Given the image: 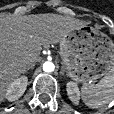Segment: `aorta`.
<instances>
[{"label": "aorta", "mask_w": 114, "mask_h": 114, "mask_svg": "<svg viewBox=\"0 0 114 114\" xmlns=\"http://www.w3.org/2000/svg\"><path fill=\"white\" fill-rule=\"evenodd\" d=\"M55 69V65L53 64V62H50V61H46L44 64H43V70L45 72H52L54 71Z\"/></svg>", "instance_id": "obj_1"}]
</instances>
